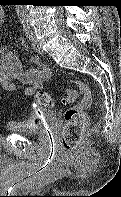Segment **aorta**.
Masks as SVG:
<instances>
[{"mask_svg":"<svg viewBox=\"0 0 121 197\" xmlns=\"http://www.w3.org/2000/svg\"><path fill=\"white\" fill-rule=\"evenodd\" d=\"M18 18L20 20H27L29 17V7L27 5H17L16 8Z\"/></svg>","mask_w":121,"mask_h":197,"instance_id":"762f6f07","label":"aorta"}]
</instances>
